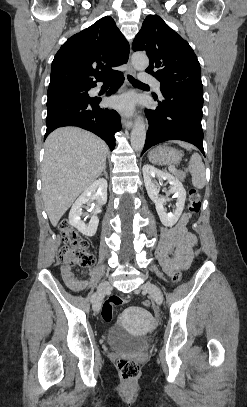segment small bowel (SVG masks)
I'll use <instances>...</instances> for the list:
<instances>
[{
  "label": "small bowel",
  "mask_w": 247,
  "mask_h": 407,
  "mask_svg": "<svg viewBox=\"0 0 247 407\" xmlns=\"http://www.w3.org/2000/svg\"><path fill=\"white\" fill-rule=\"evenodd\" d=\"M188 220L184 213L175 226L161 229L157 254L167 275H171L175 269L188 268L192 261L196 236L187 231ZM61 273L66 285L74 291L85 289L89 283L88 280H78L69 267H62Z\"/></svg>",
  "instance_id": "c3829d8e"
}]
</instances>
